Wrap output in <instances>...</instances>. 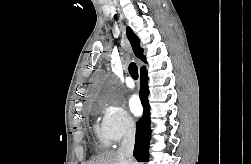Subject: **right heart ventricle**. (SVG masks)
<instances>
[{
  "label": "right heart ventricle",
  "instance_id": "e07e8e85",
  "mask_svg": "<svg viewBox=\"0 0 251 164\" xmlns=\"http://www.w3.org/2000/svg\"><path fill=\"white\" fill-rule=\"evenodd\" d=\"M95 132H96V135L98 137V140H99L101 146L102 147H107L108 144H109V140L107 139V137L103 133L102 129L99 128V127H96Z\"/></svg>",
  "mask_w": 251,
  "mask_h": 164
}]
</instances>
